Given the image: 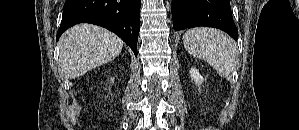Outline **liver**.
Returning a JSON list of instances; mask_svg holds the SVG:
<instances>
[{"label":"liver","instance_id":"6515ba94","mask_svg":"<svg viewBox=\"0 0 299 130\" xmlns=\"http://www.w3.org/2000/svg\"><path fill=\"white\" fill-rule=\"evenodd\" d=\"M59 48L61 73L74 79L115 59L122 51L123 41L105 28L80 24L61 36Z\"/></svg>","mask_w":299,"mask_h":130}]
</instances>
